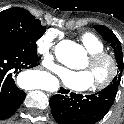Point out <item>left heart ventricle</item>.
I'll return each instance as SVG.
<instances>
[{"label":"left heart ventricle","instance_id":"left-heart-ventricle-1","mask_svg":"<svg viewBox=\"0 0 124 124\" xmlns=\"http://www.w3.org/2000/svg\"><path fill=\"white\" fill-rule=\"evenodd\" d=\"M81 69L89 70L92 75L93 83H96L107 75L109 72V65L105 62L91 65L87 58L85 63L81 66Z\"/></svg>","mask_w":124,"mask_h":124}]
</instances>
